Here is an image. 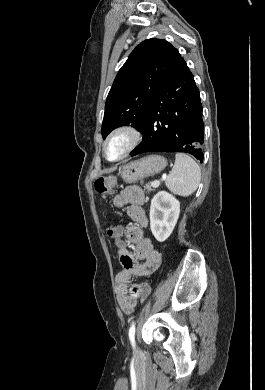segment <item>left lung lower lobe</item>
Wrapping results in <instances>:
<instances>
[{"label": "left lung lower lobe", "mask_w": 265, "mask_h": 390, "mask_svg": "<svg viewBox=\"0 0 265 390\" xmlns=\"http://www.w3.org/2000/svg\"><path fill=\"white\" fill-rule=\"evenodd\" d=\"M143 141L131 152H182L203 162L202 105L194 77L181 57L153 98Z\"/></svg>", "instance_id": "0a47b994"}]
</instances>
